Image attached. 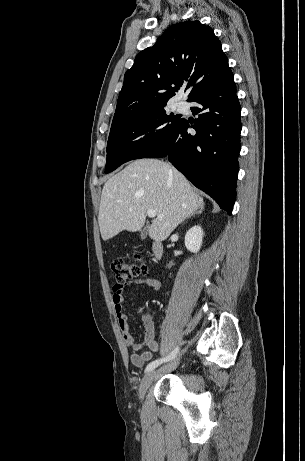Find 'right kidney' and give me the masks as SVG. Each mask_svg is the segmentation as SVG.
Wrapping results in <instances>:
<instances>
[{
	"mask_svg": "<svg viewBox=\"0 0 305 461\" xmlns=\"http://www.w3.org/2000/svg\"><path fill=\"white\" fill-rule=\"evenodd\" d=\"M204 232L199 225L190 228L185 235V246L193 253H197L202 245Z\"/></svg>",
	"mask_w": 305,
	"mask_h": 461,
	"instance_id": "obj_1",
	"label": "right kidney"
}]
</instances>
